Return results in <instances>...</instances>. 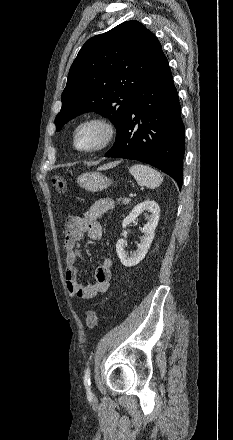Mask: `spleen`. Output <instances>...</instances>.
I'll return each mask as SVG.
<instances>
[{"label": "spleen", "mask_w": 233, "mask_h": 440, "mask_svg": "<svg viewBox=\"0 0 233 440\" xmlns=\"http://www.w3.org/2000/svg\"><path fill=\"white\" fill-rule=\"evenodd\" d=\"M129 172L135 178L138 185L150 189L158 187L163 181L161 173L148 165L135 164L130 167Z\"/></svg>", "instance_id": "spleen-1"}]
</instances>
